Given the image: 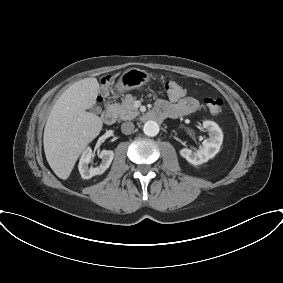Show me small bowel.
<instances>
[{
  "label": "small bowel",
  "instance_id": "c3829d8e",
  "mask_svg": "<svg viewBox=\"0 0 283 283\" xmlns=\"http://www.w3.org/2000/svg\"><path fill=\"white\" fill-rule=\"evenodd\" d=\"M199 108V101L192 96H182L179 99L170 97V101L159 100L156 103L155 111H167L170 117L187 116L196 112Z\"/></svg>",
  "mask_w": 283,
  "mask_h": 283
}]
</instances>
